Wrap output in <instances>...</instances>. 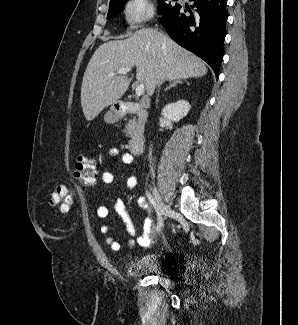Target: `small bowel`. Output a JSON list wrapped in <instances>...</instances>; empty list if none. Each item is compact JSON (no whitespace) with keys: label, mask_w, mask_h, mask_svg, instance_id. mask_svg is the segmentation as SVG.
Returning <instances> with one entry per match:
<instances>
[{"label":"small bowel","mask_w":298,"mask_h":325,"mask_svg":"<svg viewBox=\"0 0 298 325\" xmlns=\"http://www.w3.org/2000/svg\"><path fill=\"white\" fill-rule=\"evenodd\" d=\"M108 155L113 160H120L122 163L130 166L131 170L135 171L134 166V157L132 154L128 152H121L118 148H110L108 151ZM115 175L111 171L103 172L101 179L105 184H110L114 181ZM137 177L135 175H131L127 179V188L132 189L137 185ZM125 194V192L123 193ZM138 205L140 207H146V200L143 196L138 198ZM114 210L118 214V216L125 223L127 233L130 236H134L136 234L135 225L132 222L130 215L127 212V209L121 199H117L114 202ZM109 215V210L106 206H99L97 208V216L99 218L105 219ZM100 232L105 235V242L107 245L111 247L112 250L118 251L121 249L122 244L117 241L112 235H110V226L108 224H102L100 227ZM153 232V220L151 218H146L143 224V232L138 237L137 243L142 247H147L151 242V236ZM128 248H133L135 246V242L130 240L126 243Z\"/></svg>","instance_id":"small-bowel-1"}]
</instances>
